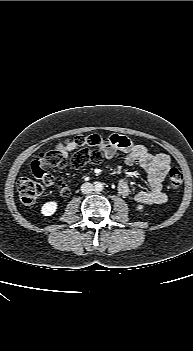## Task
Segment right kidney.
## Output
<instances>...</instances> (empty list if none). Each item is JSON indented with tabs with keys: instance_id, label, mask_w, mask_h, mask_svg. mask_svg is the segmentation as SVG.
Segmentation results:
<instances>
[{
	"instance_id": "right-kidney-1",
	"label": "right kidney",
	"mask_w": 193,
	"mask_h": 351,
	"mask_svg": "<svg viewBox=\"0 0 193 351\" xmlns=\"http://www.w3.org/2000/svg\"><path fill=\"white\" fill-rule=\"evenodd\" d=\"M57 206V202L55 201L46 202L41 208V213L44 216H51L56 212Z\"/></svg>"
}]
</instances>
